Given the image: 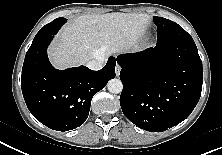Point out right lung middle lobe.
Listing matches in <instances>:
<instances>
[{"mask_svg": "<svg viewBox=\"0 0 222 155\" xmlns=\"http://www.w3.org/2000/svg\"><path fill=\"white\" fill-rule=\"evenodd\" d=\"M66 22V19L63 17L57 18L52 22L48 23L47 25L43 26L40 31L36 34L32 45L41 41L45 36L48 34H56L60 27ZM31 45V46H32Z\"/></svg>", "mask_w": 222, "mask_h": 155, "instance_id": "obj_1", "label": "right lung middle lobe"}]
</instances>
